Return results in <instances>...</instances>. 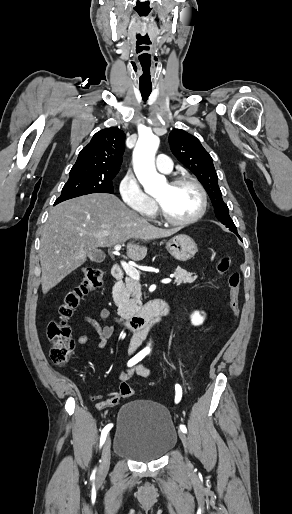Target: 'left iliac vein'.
<instances>
[{
  "label": "left iliac vein",
  "mask_w": 292,
  "mask_h": 514,
  "mask_svg": "<svg viewBox=\"0 0 292 514\" xmlns=\"http://www.w3.org/2000/svg\"><path fill=\"white\" fill-rule=\"evenodd\" d=\"M179 438L181 439V441H182V443L184 445V448H185V450L187 452V448H188V438H187V435L184 432L179 431ZM186 461H187V464H189L188 459H186Z\"/></svg>",
  "instance_id": "left-iliac-vein-1"
}]
</instances>
